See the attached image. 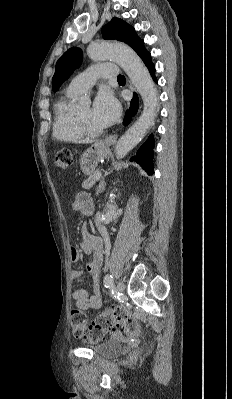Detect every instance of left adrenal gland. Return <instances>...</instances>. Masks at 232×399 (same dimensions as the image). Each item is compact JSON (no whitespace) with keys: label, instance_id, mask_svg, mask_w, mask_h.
Segmentation results:
<instances>
[{"label":"left adrenal gland","instance_id":"left-adrenal-gland-1","mask_svg":"<svg viewBox=\"0 0 232 399\" xmlns=\"http://www.w3.org/2000/svg\"><path fill=\"white\" fill-rule=\"evenodd\" d=\"M105 186H106V182H104V178H101V182L97 188L96 194H100V192H103Z\"/></svg>","mask_w":232,"mask_h":399}]
</instances>
